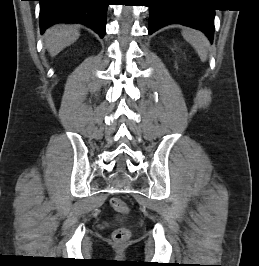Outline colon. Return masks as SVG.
Returning a JSON list of instances; mask_svg holds the SVG:
<instances>
[{
  "mask_svg": "<svg viewBox=\"0 0 259 266\" xmlns=\"http://www.w3.org/2000/svg\"><path fill=\"white\" fill-rule=\"evenodd\" d=\"M110 204L112 208L122 214H126L129 211L127 204L120 198L114 197L111 199ZM131 232L128 228L122 227L117 229L113 234V239L118 243L126 242L130 239Z\"/></svg>",
  "mask_w": 259,
  "mask_h": 266,
  "instance_id": "1",
  "label": "colon"
}]
</instances>
